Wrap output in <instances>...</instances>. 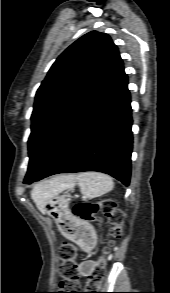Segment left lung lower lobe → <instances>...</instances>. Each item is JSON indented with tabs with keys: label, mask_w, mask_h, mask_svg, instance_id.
Returning <instances> with one entry per match:
<instances>
[{
	"label": "left lung lower lobe",
	"mask_w": 170,
	"mask_h": 293,
	"mask_svg": "<svg viewBox=\"0 0 170 293\" xmlns=\"http://www.w3.org/2000/svg\"><path fill=\"white\" fill-rule=\"evenodd\" d=\"M125 72L103 102L87 117L62 151L25 184L58 173L99 171L128 186L131 175L132 116Z\"/></svg>",
	"instance_id": "0a47b994"
}]
</instances>
